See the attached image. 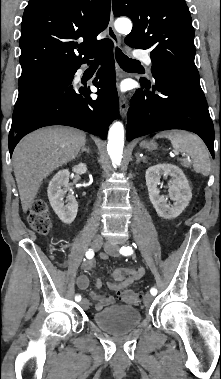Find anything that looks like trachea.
<instances>
[{"label":"trachea","instance_id":"obj_1","mask_svg":"<svg viewBox=\"0 0 221 379\" xmlns=\"http://www.w3.org/2000/svg\"><path fill=\"white\" fill-rule=\"evenodd\" d=\"M115 55H116V60H117L118 64L123 69H127V68L134 66V65L140 64L139 61L128 58L118 48L116 49Z\"/></svg>","mask_w":221,"mask_h":379}]
</instances>
